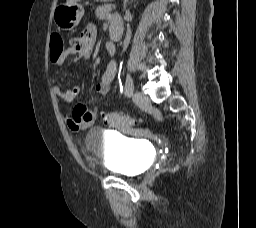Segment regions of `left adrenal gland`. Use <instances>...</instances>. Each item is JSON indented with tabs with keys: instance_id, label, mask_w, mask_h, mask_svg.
Listing matches in <instances>:
<instances>
[{
	"instance_id": "1",
	"label": "left adrenal gland",
	"mask_w": 256,
	"mask_h": 228,
	"mask_svg": "<svg viewBox=\"0 0 256 228\" xmlns=\"http://www.w3.org/2000/svg\"><path fill=\"white\" fill-rule=\"evenodd\" d=\"M129 0H124V9H126V4Z\"/></svg>"
}]
</instances>
